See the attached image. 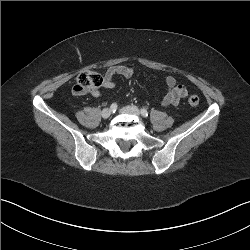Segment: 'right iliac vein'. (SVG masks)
Returning a JSON list of instances; mask_svg holds the SVG:
<instances>
[{
    "label": "right iliac vein",
    "mask_w": 250,
    "mask_h": 250,
    "mask_svg": "<svg viewBox=\"0 0 250 250\" xmlns=\"http://www.w3.org/2000/svg\"><path fill=\"white\" fill-rule=\"evenodd\" d=\"M111 114H112V111H111V109H109V108H105V109H103V111L101 112V116H102L104 119L109 118V117L111 116Z\"/></svg>",
    "instance_id": "1"
}]
</instances>
